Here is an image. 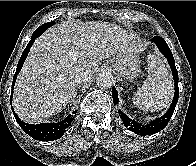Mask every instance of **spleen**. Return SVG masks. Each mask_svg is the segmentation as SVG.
I'll use <instances>...</instances> for the list:
<instances>
[{"mask_svg": "<svg viewBox=\"0 0 196 166\" xmlns=\"http://www.w3.org/2000/svg\"><path fill=\"white\" fill-rule=\"evenodd\" d=\"M173 82L163 61L155 55L148 56V76L134 94L133 103L145 111L166 108L173 97Z\"/></svg>", "mask_w": 196, "mask_h": 166, "instance_id": "obj_1", "label": "spleen"}]
</instances>
